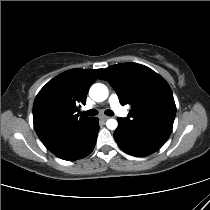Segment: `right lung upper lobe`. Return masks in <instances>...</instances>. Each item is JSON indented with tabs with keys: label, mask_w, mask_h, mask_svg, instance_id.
<instances>
[{
	"label": "right lung upper lobe",
	"mask_w": 210,
	"mask_h": 210,
	"mask_svg": "<svg viewBox=\"0 0 210 210\" xmlns=\"http://www.w3.org/2000/svg\"><path fill=\"white\" fill-rule=\"evenodd\" d=\"M102 69H71L50 80L37 94L33 105V123L42 143L50 148L69 132L87 124L92 117L75 112L85 104L90 86Z\"/></svg>",
	"instance_id": "obj_1"
}]
</instances>
